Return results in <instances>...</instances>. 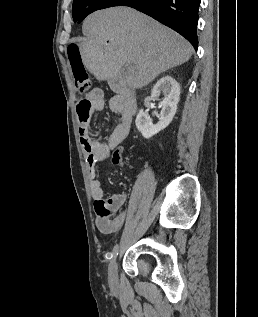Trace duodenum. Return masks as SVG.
I'll list each match as a JSON object with an SVG mask.
<instances>
[{
  "mask_svg": "<svg viewBox=\"0 0 258 317\" xmlns=\"http://www.w3.org/2000/svg\"><path fill=\"white\" fill-rule=\"evenodd\" d=\"M132 107H133V109H134V111L136 110V103H135V101H132Z\"/></svg>",
  "mask_w": 258,
  "mask_h": 317,
  "instance_id": "1",
  "label": "duodenum"
}]
</instances>
